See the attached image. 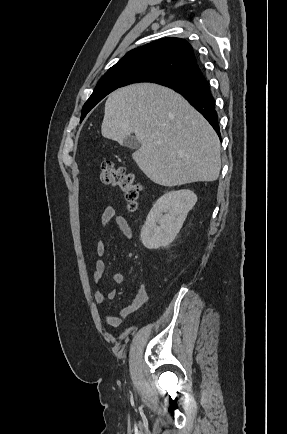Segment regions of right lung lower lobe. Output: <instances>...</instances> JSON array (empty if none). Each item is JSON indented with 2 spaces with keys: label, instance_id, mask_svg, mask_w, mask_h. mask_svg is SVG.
I'll return each instance as SVG.
<instances>
[{
  "label": "right lung lower lobe",
  "instance_id": "obj_1",
  "mask_svg": "<svg viewBox=\"0 0 287 434\" xmlns=\"http://www.w3.org/2000/svg\"><path fill=\"white\" fill-rule=\"evenodd\" d=\"M167 87L180 93L197 111H199L220 136L218 115L215 100L209 84L200 67H196L183 75L177 82Z\"/></svg>",
  "mask_w": 287,
  "mask_h": 434
}]
</instances>
